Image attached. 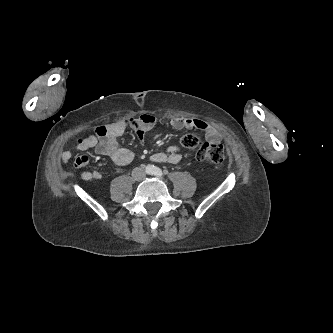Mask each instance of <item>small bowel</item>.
Instances as JSON below:
<instances>
[{
  "label": "small bowel",
  "instance_id": "1",
  "mask_svg": "<svg viewBox=\"0 0 333 333\" xmlns=\"http://www.w3.org/2000/svg\"><path fill=\"white\" fill-rule=\"evenodd\" d=\"M155 124V117L149 114H143L139 117H131L127 120H120L110 123L105 128V133L91 134L86 137L79 138L72 149L62 152L60 159L63 163H67L73 157L74 151L86 152L90 149L102 156H107L118 165H127L134 159V153L128 148L119 147L117 144V137L122 135L124 131L129 128L137 132L140 141L143 140V134L153 128ZM171 125L175 129H198L205 134L209 143L216 144L221 140L220 131L201 119L175 117L171 120ZM154 162H169L177 164L182 160L177 146H170L167 153H156L152 156ZM89 161V156L84 154L78 156L74 160L76 168L86 166ZM102 177L99 171H86L81 175L82 180H99Z\"/></svg>",
  "mask_w": 333,
  "mask_h": 333
}]
</instances>
